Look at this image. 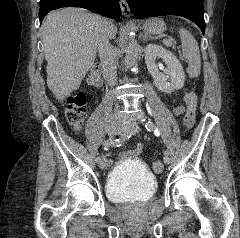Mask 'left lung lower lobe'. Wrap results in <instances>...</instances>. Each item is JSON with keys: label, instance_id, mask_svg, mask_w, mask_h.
Here are the masks:
<instances>
[{"label": "left lung lower lobe", "instance_id": "0a47b994", "mask_svg": "<svg viewBox=\"0 0 240 238\" xmlns=\"http://www.w3.org/2000/svg\"><path fill=\"white\" fill-rule=\"evenodd\" d=\"M137 19L165 15L185 17L205 32L203 0H127Z\"/></svg>", "mask_w": 240, "mask_h": 238}]
</instances>
